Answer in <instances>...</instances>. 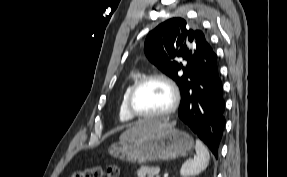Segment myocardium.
<instances>
[{"label":"myocardium","instance_id":"obj_1","mask_svg":"<svg viewBox=\"0 0 287 177\" xmlns=\"http://www.w3.org/2000/svg\"><path fill=\"white\" fill-rule=\"evenodd\" d=\"M153 80H158L163 82L169 89L170 94H171V104L168 109H166L162 113H157V114H143L140 113L136 110L134 106V98L139 91V89L145 85L146 83L153 81ZM180 103V92L174 81L169 78L168 76L161 74V73H153V74H148L143 77H141L132 87L130 90L128 97H127V108L130 114L134 117L140 118V119H161L164 117H167L171 115L175 110L178 108Z\"/></svg>","mask_w":287,"mask_h":177}]
</instances>
